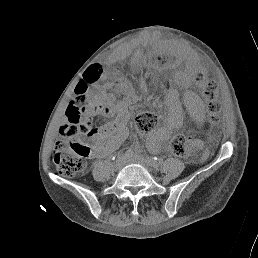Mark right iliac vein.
Listing matches in <instances>:
<instances>
[{
  "mask_svg": "<svg viewBox=\"0 0 258 258\" xmlns=\"http://www.w3.org/2000/svg\"><path fill=\"white\" fill-rule=\"evenodd\" d=\"M124 161L123 159H117L115 161V168L116 169H121L123 167Z\"/></svg>",
  "mask_w": 258,
  "mask_h": 258,
  "instance_id": "obj_1",
  "label": "right iliac vein"
}]
</instances>
